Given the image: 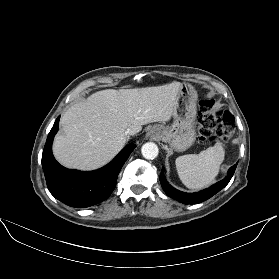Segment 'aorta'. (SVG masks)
<instances>
[{
  "instance_id": "aorta-1",
  "label": "aorta",
  "mask_w": 279,
  "mask_h": 279,
  "mask_svg": "<svg viewBox=\"0 0 279 279\" xmlns=\"http://www.w3.org/2000/svg\"><path fill=\"white\" fill-rule=\"evenodd\" d=\"M142 156L145 159H155L158 156V146L153 142L145 143L141 148Z\"/></svg>"
}]
</instances>
